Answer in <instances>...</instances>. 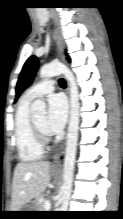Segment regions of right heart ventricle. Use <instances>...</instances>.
I'll return each instance as SVG.
<instances>
[{
	"instance_id": "obj_1",
	"label": "right heart ventricle",
	"mask_w": 123,
	"mask_h": 219,
	"mask_svg": "<svg viewBox=\"0 0 123 219\" xmlns=\"http://www.w3.org/2000/svg\"><path fill=\"white\" fill-rule=\"evenodd\" d=\"M30 101L22 98L18 106L14 134L18 156L23 162H34L42 158L43 145L38 140L33 128L32 117L29 112Z\"/></svg>"
}]
</instances>
